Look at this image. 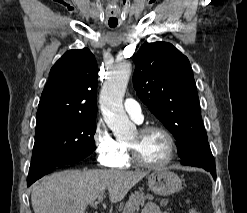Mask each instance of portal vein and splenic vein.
Returning a JSON list of instances; mask_svg holds the SVG:
<instances>
[{
  "mask_svg": "<svg viewBox=\"0 0 247 213\" xmlns=\"http://www.w3.org/2000/svg\"><path fill=\"white\" fill-rule=\"evenodd\" d=\"M103 197H104V194L99 195L98 201H99V202H102V201H103Z\"/></svg>",
  "mask_w": 247,
  "mask_h": 213,
  "instance_id": "18ae733b",
  "label": "portal vein and splenic vein"
}]
</instances>
